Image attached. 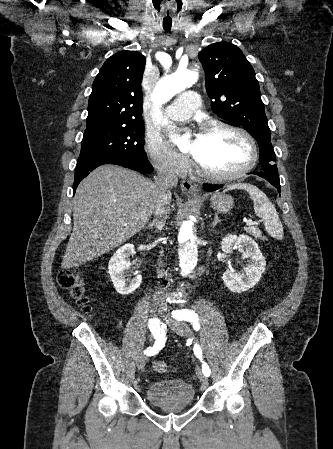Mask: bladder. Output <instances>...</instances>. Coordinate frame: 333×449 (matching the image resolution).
Instances as JSON below:
<instances>
[{
	"label": "bladder",
	"instance_id": "1",
	"mask_svg": "<svg viewBox=\"0 0 333 449\" xmlns=\"http://www.w3.org/2000/svg\"><path fill=\"white\" fill-rule=\"evenodd\" d=\"M146 399L158 408L187 407L194 403L195 390L182 380L157 381L147 387Z\"/></svg>",
	"mask_w": 333,
	"mask_h": 449
}]
</instances>
